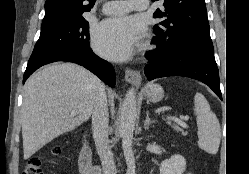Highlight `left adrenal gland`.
I'll list each match as a JSON object with an SVG mask.
<instances>
[{
	"label": "left adrenal gland",
	"mask_w": 249,
	"mask_h": 174,
	"mask_svg": "<svg viewBox=\"0 0 249 174\" xmlns=\"http://www.w3.org/2000/svg\"><path fill=\"white\" fill-rule=\"evenodd\" d=\"M155 122H156L155 120H151L150 119V117H149V111L147 110V112H146V119L144 121V129L148 130L149 127H150V125H152Z\"/></svg>",
	"instance_id": "left-adrenal-gland-1"
}]
</instances>
